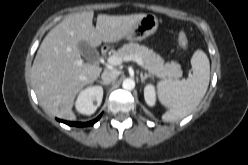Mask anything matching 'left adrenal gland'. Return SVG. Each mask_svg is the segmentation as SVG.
I'll return each instance as SVG.
<instances>
[{
	"instance_id": "obj_1",
	"label": "left adrenal gland",
	"mask_w": 248,
	"mask_h": 165,
	"mask_svg": "<svg viewBox=\"0 0 248 165\" xmlns=\"http://www.w3.org/2000/svg\"><path fill=\"white\" fill-rule=\"evenodd\" d=\"M148 77L153 78V76L151 74H147V73L143 74V73H141L140 74L141 82L143 83Z\"/></svg>"
}]
</instances>
